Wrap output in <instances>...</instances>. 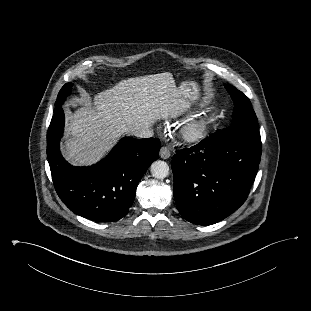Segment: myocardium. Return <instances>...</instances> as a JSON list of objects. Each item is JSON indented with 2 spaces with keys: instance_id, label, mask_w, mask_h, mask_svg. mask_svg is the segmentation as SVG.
<instances>
[{
  "instance_id": "obj_1",
  "label": "myocardium",
  "mask_w": 311,
  "mask_h": 311,
  "mask_svg": "<svg viewBox=\"0 0 311 311\" xmlns=\"http://www.w3.org/2000/svg\"><path fill=\"white\" fill-rule=\"evenodd\" d=\"M208 123L204 118L189 121L182 129L183 139L192 144L201 142L207 133Z\"/></svg>"
}]
</instances>
